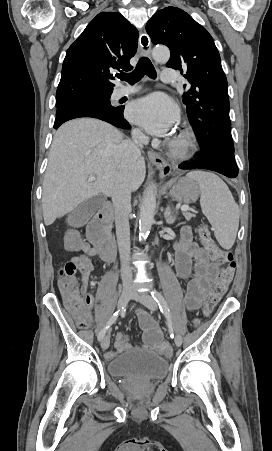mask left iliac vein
Returning <instances> with one entry per match:
<instances>
[{
	"label": "left iliac vein",
	"instance_id": "obj_1",
	"mask_svg": "<svg viewBox=\"0 0 272 451\" xmlns=\"http://www.w3.org/2000/svg\"><path fill=\"white\" fill-rule=\"evenodd\" d=\"M133 298L141 303H143L148 309L151 311H155L157 309V302L156 300L145 292H137L134 291ZM182 344V338L180 335H177L175 337V345L180 346Z\"/></svg>",
	"mask_w": 272,
	"mask_h": 451
}]
</instances>
